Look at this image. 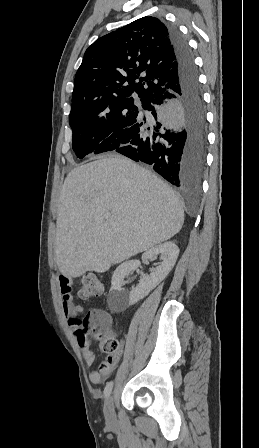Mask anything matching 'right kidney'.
Listing matches in <instances>:
<instances>
[{
	"instance_id": "right-kidney-1",
	"label": "right kidney",
	"mask_w": 259,
	"mask_h": 448,
	"mask_svg": "<svg viewBox=\"0 0 259 448\" xmlns=\"http://www.w3.org/2000/svg\"><path fill=\"white\" fill-rule=\"evenodd\" d=\"M160 262L157 268L152 270L149 276H142V280H140L138 286L136 288H132L131 292H127L122 288L124 284V278L130 274V272H134L140 266L139 260H129V262H123L120 264L118 268H116L112 280H111V290L108 294L107 304L109 306V310L111 312H124L126 308L129 306H133L145 296H148L151 290H154L166 276H168L169 272H171L172 268L175 266V262L179 256V248H177L175 242H164V244H159V246H154L148 252H145L142 256L143 262H147V260H153L156 256H159Z\"/></svg>"
}]
</instances>
